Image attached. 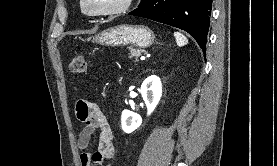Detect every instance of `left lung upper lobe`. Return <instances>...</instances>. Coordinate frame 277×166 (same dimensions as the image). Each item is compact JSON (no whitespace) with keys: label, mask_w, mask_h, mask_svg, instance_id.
Instances as JSON below:
<instances>
[{"label":"left lung upper lobe","mask_w":277,"mask_h":166,"mask_svg":"<svg viewBox=\"0 0 277 166\" xmlns=\"http://www.w3.org/2000/svg\"><path fill=\"white\" fill-rule=\"evenodd\" d=\"M144 2H146V0H142L141 3H140V5H142ZM140 5H139V6H140Z\"/></svg>","instance_id":"1"}]
</instances>
